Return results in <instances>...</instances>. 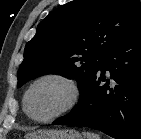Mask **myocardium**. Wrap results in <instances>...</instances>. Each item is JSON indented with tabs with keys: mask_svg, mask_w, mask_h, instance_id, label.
<instances>
[{
	"mask_svg": "<svg viewBox=\"0 0 141 139\" xmlns=\"http://www.w3.org/2000/svg\"><path fill=\"white\" fill-rule=\"evenodd\" d=\"M45 80H58L64 83L70 91V97L66 105L61 110L53 114L52 116L47 117V118H37L33 116L29 111V107H28L29 96L32 90L34 89V87ZM81 95H82V92H81L80 85L72 77L62 74V73H56V72L47 73V74L39 76L29 85L28 89L26 90L24 94V98H23L24 111L27 114V116L30 119H32L33 121H36L39 123H48L72 111L79 103Z\"/></svg>",
	"mask_w": 141,
	"mask_h": 139,
	"instance_id": "myocardium-1",
	"label": "myocardium"
}]
</instances>
